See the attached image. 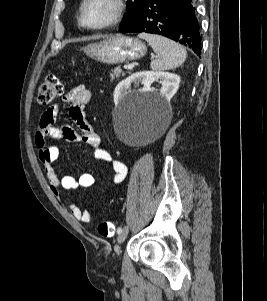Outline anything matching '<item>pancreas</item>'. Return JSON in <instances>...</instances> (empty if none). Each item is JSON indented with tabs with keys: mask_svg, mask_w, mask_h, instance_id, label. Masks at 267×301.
<instances>
[{
	"mask_svg": "<svg viewBox=\"0 0 267 301\" xmlns=\"http://www.w3.org/2000/svg\"><path fill=\"white\" fill-rule=\"evenodd\" d=\"M121 75H123V72H122L121 68L120 67L115 68L110 73L111 81H113L114 79L119 78Z\"/></svg>",
	"mask_w": 267,
	"mask_h": 301,
	"instance_id": "cf45deb5",
	"label": "pancreas"
}]
</instances>
